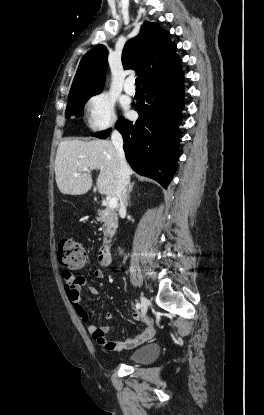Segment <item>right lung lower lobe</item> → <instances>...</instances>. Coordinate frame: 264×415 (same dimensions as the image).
Listing matches in <instances>:
<instances>
[{
  "instance_id": "98d812e1",
  "label": "right lung lower lobe",
  "mask_w": 264,
  "mask_h": 415,
  "mask_svg": "<svg viewBox=\"0 0 264 415\" xmlns=\"http://www.w3.org/2000/svg\"><path fill=\"white\" fill-rule=\"evenodd\" d=\"M184 73L148 82L142 86V99L136 104V122L120 117L115 127L122 134L124 151L130 166L138 174L150 177L163 187L170 183L179 157L178 126L184 107ZM111 129L94 133L105 139Z\"/></svg>"
}]
</instances>
